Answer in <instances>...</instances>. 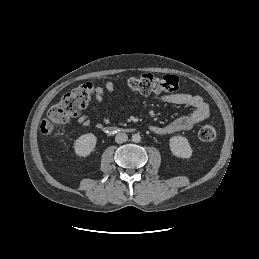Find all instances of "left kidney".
Returning <instances> with one entry per match:
<instances>
[{
	"label": "left kidney",
	"instance_id": "5707ae66",
	"mask_svg": "<svg viewBox=\"0 0 259 259\" xmlns=\"http://www.w3.org/2000/svg\"><path fill=\"white\" fill-rule=\"evenodd\" d=\"M169 146L172 154L180 158H190L192 156V148L187 138L182 136H173L169 140Z\"/></svg>",
	"mask_w": 259,
	"mask_h": 259
}]
</instances>
